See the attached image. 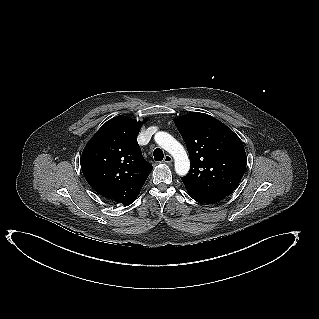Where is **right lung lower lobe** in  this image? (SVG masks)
<instances>
[{
	"label": "right lung lower lobe",
	"mask_w": 319,
	"mask_h": 319,
	"mask_svg": "<svg viewBox=\"0 0 319 319\" xmlns=\"http://www.w3.org/2000/svg\"><path fill=\"white\" fill-rule=\"evenodd\" d=\"M133 201H134V200H133ZM133 201H132L131 203H133ZM131 203H130V204H131ZM130 204H128V205H130ZM128 205H126V206H128Z\"/></svg>",
	"instance_id": "98d812e1"
}]
</instances>
